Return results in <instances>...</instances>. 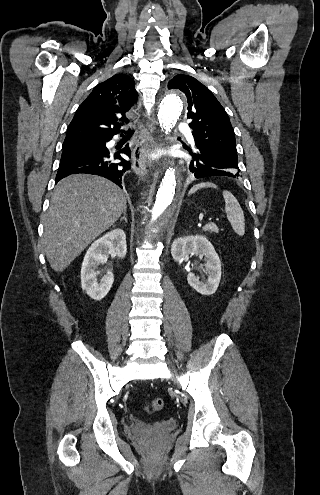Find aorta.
Returning a JSON list of instances; mask_svg holds the SVG:
<instances>
[{"label": "aorta", "instance_id": "1", "mask_svg": "<svg viewBox=\"0 0 320 495\" xmlns=\"http://www.w3.org/2000/svg\"><path fill=\"white\" fill-rule=\"evenodd\" d=\"M182 108V92L176 89L169 91L158 112L160 126L166 133L170 132L178 121ZM175 190V171L169 168L162 179L155 203L144 225V234L149 241L154 242L161 237L164 228L172 221L178 206L174 201Z\"/></svg>", "mask_w": 320, "mask_h": 495}]
</instances>
